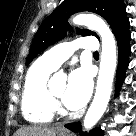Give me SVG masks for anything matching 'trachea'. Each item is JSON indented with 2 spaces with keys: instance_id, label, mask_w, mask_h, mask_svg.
<instances>
[{
  "instance_id": "trachea-1",
  "label": "trachea",
  "mask_w": 136,
  "mask_h": 136,
  "mask_svg": "<svg viewBox=\"0 0 136 136\" xmlns=\"http://www.w3.org/2000/svg\"><path fill=\"white\" fill-rule=\"evenodd\" d=\"M93 55L94 56H99V53L98 52H94Z\"/></svg>"
}]
</instances>
